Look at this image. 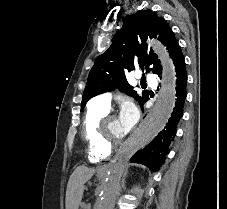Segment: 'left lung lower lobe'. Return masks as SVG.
<instances>
[{"mask_svg":"<svg viewBox=\"0 0 227 209\" xmlns=\"http://www.w3.org/2000/svg\"><path fill=\"white\" fill-rule=\"evenodd\" d=\"M176 70V102L171 117L165 128L142 150L138 151L131 162L148 166L152 171L158 170L165 161V154L169 149L171 140L174 139L176 125L183 114V106L186 99L187 74L185 59L179 48L173 60ZM160 76V75H159Z\"/></svg>","mask_w":227,"mask_h":209,"instance_id":"left-lung-lower-lobe-1","label":"left lung lower lobe"}]
</instances>
